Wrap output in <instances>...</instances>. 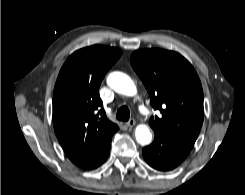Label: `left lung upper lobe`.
Segmentation results:
<instances>
[{
    "label": "left lung upper lobe",
    "mask_w": 245,
    "mask_h": 195,
    "mask_svg": "<svg viewBox=\"0 0 245 195\" xmlns=\"http://www.w3.org/2000/svg\"><path fill=\"white\" fill-rule=\"evenodd\" d=\"M130 63L144 83L151 105L161 116L151 117L154 131L196 141L203 123V91L193 66L179 53L162 49L133 52Z\"/></svg>",
    "instance_id": "left-lung-upper-lobe-1"
}]
</instances>
